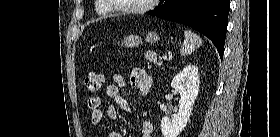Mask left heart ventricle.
Segmentation results:
<instances>
[{
	"instance_id": "left-heart-ventricle-1",
	"label": "left heart ventricle",
	"mask_w": 280,
	"mask_h": 137,
	"mask_svg": "<svg viewBox=\"0 0 280 137\" xmlns=\"http://www.w3.org/2000/svg\"><path fill=\"white\" fill-rule=\"evenodd\" d=\"M120 3L123 7L140 6L145 3V0H120Z\"/></svg>"
}]
</instances>
